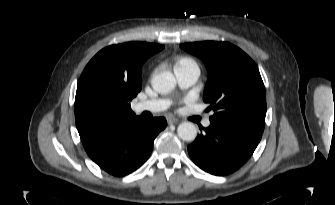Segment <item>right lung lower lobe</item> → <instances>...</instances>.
<instances>
[{
    "mask_svg": "<svg viewBox=\"0 0 335 205\" xmlns=\"http://www.w3.org/2000/svg\"><path fill=\"white\" fill-rule=\"evenodd\" d=\"M166 119L140 117L102 137L83 141L89 157L106 172L124 176L139 168L149 157L153 142L166 127Z\"/></svg>",
    "mask_w": 335,
    "mask_h": 205,
    "instance_id": "obj_1",
    "label": "right lung lower lobe"
}]
</instances>
